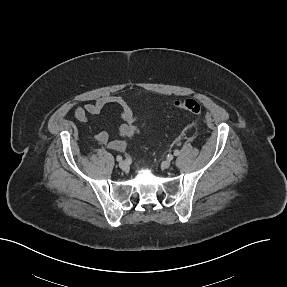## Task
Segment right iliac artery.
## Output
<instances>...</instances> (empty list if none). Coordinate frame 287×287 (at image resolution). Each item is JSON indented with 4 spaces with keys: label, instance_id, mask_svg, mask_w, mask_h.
<instances>
[{
    "label": "right iliac artery",
    "instance_id": "right-iliac-artery-1",
    "mask_svg": "<svg viewBox=\"0 0 287 287\" xmlns=\"http://www.w3.org/2000/svg\"><path fill=\"white\" fill-rule=\"evenodd\" d=\"M116 160L119 161V162L122 161V156L118 155V156L116 157Z\"/></svg>",
    "mask_w": 287,
    "mask_h": 287
}]
</instances>
